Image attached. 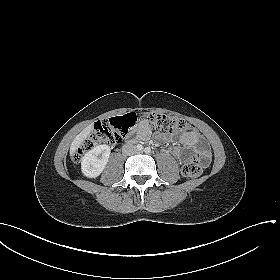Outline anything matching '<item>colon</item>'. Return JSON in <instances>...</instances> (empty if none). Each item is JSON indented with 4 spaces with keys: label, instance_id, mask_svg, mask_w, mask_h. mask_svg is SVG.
I'll list each match as a JSON object with an SVG mask.
<instances>
[{
    "label": "colon",
    "instance_id": "obj_1",
    "mask_svg": "<svg viewBox=\"0 0 280 280\" xmlns=\"http://www.w3.org/2000/svg\"><path fill=\"white\" fill-rule=\"evenodd\" d=\"M149 125L162 133H177L188 128V123L174 115L149 112L144 115ZM138 116L130 113L121 117H113L95 124L94 129L78 147L74 158L79 161L82 155L98 145H116L123 140L131 127L135 125ZM209 162L208 155H194L182 166V175L187 178L198 177Z\"/></svg>",
    "mask_w": 280,
    "mask_h": 280
}]
</instances>
